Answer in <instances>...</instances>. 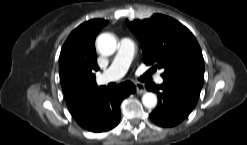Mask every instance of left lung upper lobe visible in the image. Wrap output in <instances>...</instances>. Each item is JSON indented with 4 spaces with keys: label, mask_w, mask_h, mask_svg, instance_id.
Wrapping results in <instances>:
<instances>
[{
    "label": "left lung upper lobe",
    "mask_w": 247,
    "mask_h": 145,
    "mask_svg": "<svg viewBox=\"0 0 247 145\" xmlns=\"http://www.w3.org/2000/svg\"><path fill=\"white\" fill-rule=\"evenodd\" d=\"M143 50V62L164 68L163 79L183 81L199 89L204 79V60L194 35L173 18L154 14L149 19L126 20Z\"/></svg>",
    "instance_id": "left-lung-upper-lobe-1"
}]
</instances>
